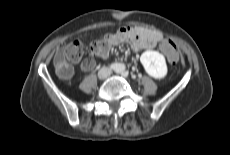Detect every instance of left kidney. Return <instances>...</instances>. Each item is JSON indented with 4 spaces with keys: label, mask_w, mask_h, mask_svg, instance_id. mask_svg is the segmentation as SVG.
<instances>
[{
    "label": "left kidney",
    "mask_w": 230,
    "mask_h": 155,
    "mask_svg": "<svg viewBox=\"0 0 230 155\" xmlns=\"http://www.w3.org/2000/svg\"><path fill=\"white\" fill-rule=\"evenodd\" d=\"M146 73L155 78L162 79L167 75V65L165 57L157 51H145L140 57Z\"/></svg>",
    "instance_id": "obj_1"
}]
</instances>
